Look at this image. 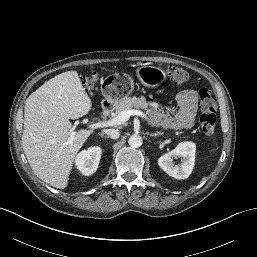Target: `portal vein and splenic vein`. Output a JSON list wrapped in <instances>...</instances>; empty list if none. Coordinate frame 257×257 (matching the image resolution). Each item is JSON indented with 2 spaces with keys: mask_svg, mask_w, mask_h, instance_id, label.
Listing matches in <instances>:
<instances>
[{
  "mask_svg": "<svg viewBox=\"0 0 257 257\" xmlns=\"http://www.w3.org/2000/svg\"><path fill=\"white\" fill-rule=\"evenodd\" d=\"M130 116H139L144 119H148L146 114H144L140 110H136V109L124 110L117 116L111 118L110 120L90 124L89 128L97 129V128L108 127L113 125H122L129 120ZM72 140H73V134L68 138L69 142H71Z\"/></svg>",
  "mask_w": 257,
  "mask_h": 257,
  "instance_id": "1",
  "label": "portal vein and splenic vein"
}]
</instances>
